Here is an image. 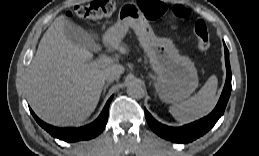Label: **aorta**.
<instances>
[{"instance_id": "obj_1", "label": "aorta", "mask_w": 259, "mask_h": 156, "mask_svg": "<svg viewBox=\"0 0 259 156\" xmlns=\"http://www.w3.org/2000/svg\"><path fill=\"white\" fill-rule=\"evenodd\" d=\"M127 94L133 98H142L145 91L141 82L137 80L130 82L127 86Z\"/></svg>"}]
</instances>
